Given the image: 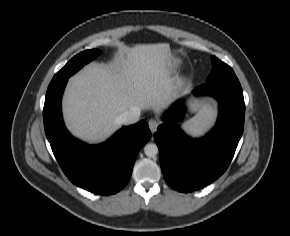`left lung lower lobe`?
I'll list each match as a JSON object with an SVG mask.
<instances>
[{"label":"left lung lower lobe","instance_id":"obj_1","mask_svg":"<svg viewBox=\"0 0 290 236\" xmlns=\"http://www.w3.org/2000/svg\"><path fill=\"white\" fill-rule=\"evenodd\" d=\"M193 93L219 101L214 129L199 139L188 137L175 123L185 111L183 103L177 101L165 113L167 122L154 135L166 182L185 193L209 185L225 172L242 136L245 117L243 91L237 77L207 82Z\"/></svg>","mask_w":290,"mask_h":236}]
</instances>
